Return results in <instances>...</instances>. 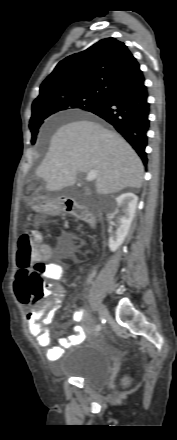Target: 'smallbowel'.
Masks as SVG:
<instances>
[{
	"mask_svg": "<svg viewBox=\"0 0 177 440\" xmlns=\"http://www.w3.org/2000/svg\"><path fill=\"white\" fill-rule=\"evenodd\" d=\"M47 265V278L60 280L63 277L62 266L58 262L49 261ZM15 294L21 300L18 291L17 282L15 284ZM64 289L60 285H53L50 289V299L44 302L41 306L31 309L26 314V323L29 333L36 338L37 344L40 347H48L50 344V332L44 325H48L53 321V318L61 306V298ZM85 320V310L78 308L73 314L74 322H83ZM90 323L86 321V326L75 325L74 333L68 337H60L57 342L58 345L50 347L47 350L46 356L50 361L60 359L65 350L78 345L85 338L86 330H90Z\"/></svg>",
	"mask_w": 177,
	"mask_h": 440,
	"instance_id": "small-bowel-1",
	"label": "small bowel"
}]
</instances>
